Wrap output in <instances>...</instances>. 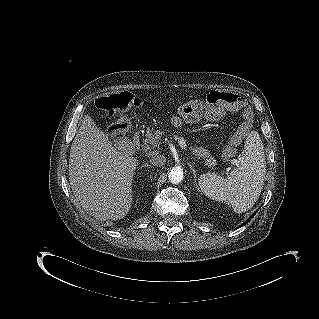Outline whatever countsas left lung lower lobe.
<instances>
[{
    "label": "left lung lower lobe",
    "mask_w": 319,
    "mask_h": 319,
    "mask_svg": "<svg viewBox=\"0 0 319 319\" xmlns=\"http://www.w3.org/2000/svg\"><path fill=\"white\" fill-rule=\"evenodd\" d=\"M257 212V211H256ZM256 212L244 223V224H242L241 226H243V225H245L246 223H248L253 217H254V215L256 214Z\"/></svg>",
    "instance_id": "0a47b994"
}]
</instances>
